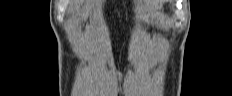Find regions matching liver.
I'll list each match as a JSON object with an SVG mask.
<instances>
[{"label": "liver", "mask_w": 232, "mask_h": 96, "mask_svg": "<svg viewBox=\"0 0 232 96\" xmlns=\"http://www.w3.org/2000/svg\"><path fill=\"white\" fill-rule=\"evenodd\" d=\"M75 2H76V5L78 6L82 2V0H75ZM145 2L147 4H154L155 3L153 0H146Z\"/></svg>", "instance_id": "6515ba94"}]
</instances>
